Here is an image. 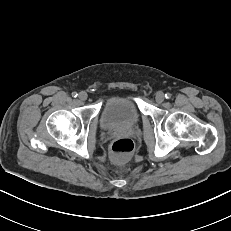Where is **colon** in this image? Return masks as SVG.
Instances as JSON below:
<instances>
[{
  "label": "colon",
  "instance_id": "1",
  "mask_svg": "<svg viewBox=\"0 0 231 231\" xmlns=\"http://www.w3.org/2000/svg\"><path fill=\"white\" fill-rule=\"evenodd\" d=\"M134 150V143L129 138H119L113 141L110 147L112 158L123 163L128 160Z\"/></svg>",
  "mask_w": 231,
  "mask_h": 231
}]
</instances>
